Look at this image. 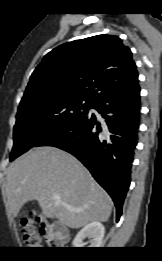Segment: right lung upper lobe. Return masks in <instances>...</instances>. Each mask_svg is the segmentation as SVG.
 <instances>
[{
	"label": "right lung upper lobe",
	"instance_id": "right-lung-upper-lobe-1",
	"mask_svg": "<svg viewBox=\"0 0 162 261\" xmlns=\"http://www.w3.org/2000/svg\"><path fill=\"white\" fill-rule=\"evenodd\" d=\"M138 86L130 49L114 35H97L65 43L44 56L30 77L21 101L72 95L95 101Z\"/></svg>",
	"mask_w": 162,
	"mask_h": 261
}]
</instances>
